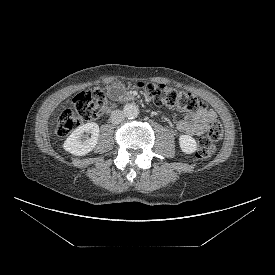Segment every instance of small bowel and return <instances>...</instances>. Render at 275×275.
Listing matches in <instances>:
<instances>
[{
    "label": "small bowel",
    "mask_w": 275,
    "mask_h": 275,
    "mask_svg": "<svg viewBox=\"0 0 275 275\" xmlns=\"http://www.w3.org/2000/svg\"><path fill=\"white\" fill-rule=\"evenodd\" d=\"M112 98H117L122 93L120 85H112L108 89ZM215 111L207 108L189 113L185 119L177 122V129L188 135H200L211 123L216 120Z\"/></svg>",
    "instance_id": "c3829d8e"
}]
</instances>
